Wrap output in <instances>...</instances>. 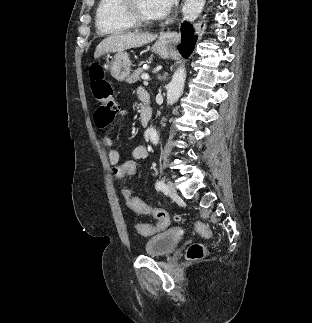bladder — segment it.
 <instances>
[{"label":"bladder","instance_id":"bladder-1","mask_svg":"<svg viewBox=\"0 0 312 323\" xmlns=\"http://www.w3.org/2000/svg\"><path fill=\"white\" fill-rule=\"evenodd\" d=\"M178 229L169 230L161 234L152 235L145 241L144 251L150 257H166L174 251L175 245L180 242Z\"/></svg>","mask_w":312,"mask_h":323}]
</instances>
